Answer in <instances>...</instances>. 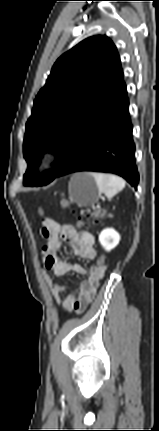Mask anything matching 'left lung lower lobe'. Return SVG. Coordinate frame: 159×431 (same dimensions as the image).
<instances>
[{
	"label": "left lung lower lobe",
	"instance_id": "1",
	"mask_svg": "<svg viewBox=\"0 0 159 431\" xmlns=\"http://www.w3.org/2000/svg\"><path fill=\"white\" fill-rule=\"evenodd\" d=\"M79 171L114 173L137 189L139 173L125 83L81 128L56 177Z\"/></svg>",
	"mask_w": 159,
	"mask_h": 431
}]
</instances>
